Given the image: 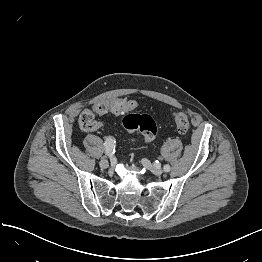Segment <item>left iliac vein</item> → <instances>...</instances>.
I'll return each instance as SVG.
<instances>
[{
  "label": "left iliac vein",
  "mask_w": 262,
  "mask_h": 262,
  "mask_svg": "<svg viewBox=\"0 0 262 262\" xmlns=\"http://www.w3.org/2000/svg\"><path fill=\"white\" fill-rule=\"evenodd\" d=\"M142 164L151 172H153L155 175L159 176L162 174V169L156 165H152L147 159H143Z\"/></svg>",
  "instance_id": "1"
}]
</instances>
